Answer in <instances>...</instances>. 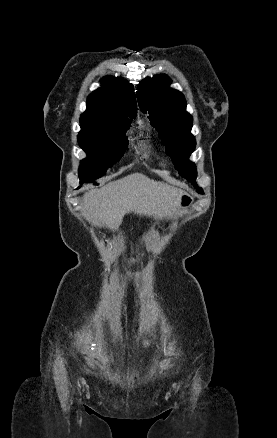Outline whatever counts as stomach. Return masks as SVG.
I'll list each match as a JSON object with an SVG mask.
<instances>
[{"mask_svg": "<svg viewBox=\"0 0 277 438\" xmlns=\"http://www.w3.org/2000/svg\"><path fill=\"white\" fill-rule=\"evenodd\" d=\"M178 201H179V207L182 210H187L193 204V198L186 193L181 194L178 198Z\"/></svg>", "mask_w": 277, "mask_h": 438, "instance_id": "1", "label": "stomach"}]
</instances>
